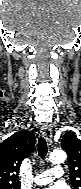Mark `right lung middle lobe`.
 Listing matches in <instances>:
<instances>
[{
    "mask_svg": "<svg viewBox=\"0 0 81 189\" xmlns=\"http://www.w3.org/2000/svg\"><path fill=\"white\" fill-rule=\"evenodd\" d=\"M0 189H19L18 186H3V187H0Z\"/></svg>",
    "mask_w": 81,
    "mask_h": 189,
    "instance_id": "1",
    "label": "right lung middle lobe"
}]
</instances>
